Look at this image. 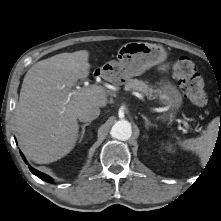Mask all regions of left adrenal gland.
<instances>
[{"mask_svg":"<svg viewBox=\"0 0 221 221\" xmlns=\"http://www.w3.org/2000/svg\"><path fill=\"white\" fill-rule=\"evenodd\" d=\"M141 117L145 120V127H146V129H148L150 126L157 127L155 124L151 123L148 120V118L146 116H144L143 114L141 115Z\"/></svg>","mask_w":221,"mask_h":221,"instance_id":"left-adrenal-gland-1","label":"left adrenal gland"}]
</instances>
